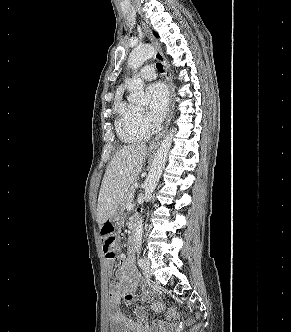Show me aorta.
<instances>
[{"mask_svg": "<svg viewBox=\"0 0 291 332\" xmlns=\"http://www.w3.org/2000/svg\"><path fill=\"white\" fill-rule=\"evenodd\" d=\"M155 54V50L151 45H143L136 47L132 50L128 58V65L137 73V70L147 61L152 58ZM130 91V101L135 104L147 105L149 103L148 97L145 95L143 90V81L135 74L128 84ZM173 130H170L162 140L157 152L155 153L151 169L144 183L145 189V200L151 199L152 193L156 188L162 171L165 167L168 152L172 145ZM143 236V220L142 218L138 221L135 229V240L137 251L140 250L142 245Z\"/></svg>", "mask_w": 291, "mask_h": 332, "instance_id": "1", "label": "aorta"}]
</instances>
